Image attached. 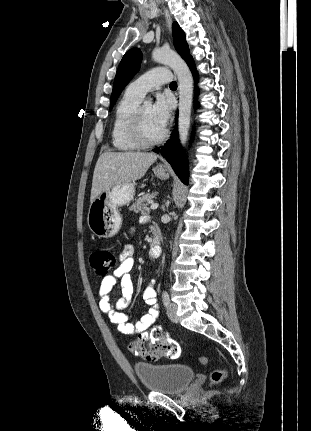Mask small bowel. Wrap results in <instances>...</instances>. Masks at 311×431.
<instances>
[{
	"instance_id": "obj_1",
	"label": "small bowel",
	"mask_w": 311,
	"mask_h": 431,
	"mask_svg": "<svg viewBox=\"0 0 311 431\" xmlns=\"http://www.w3.org/2000/svg\"><path fill=\"white\" fill-rule=\"evenodd\" d=\"M146 220V217H142L143 222ZM133 266L134 251L133 247L128 244L124 246L119 257V264L113 274L104 278L100 284L98 292L99 308L108 315L110 321L122 334L132 335L138 333L142 338L163 340L165 337L162 328L159 326L152 327L159 315L155 280L148 281L143 292L144 301L149 306L148 313L135 323H132L128 321L127 314L123 312L129 305L134 291L130 275ZM117 280L120 281L121 297L113 304L111 296ZM151 327L152 329L148 333L147 330Z\"/></svg>"
}]
</instances>
